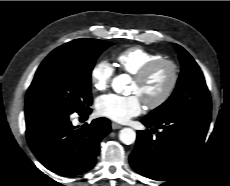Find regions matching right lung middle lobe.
Instances as JSON below:
<instances>
[{
	"label": "right lung middle lobe",
	"mask_w": 230,
	"mask_h": 186,
	"mask_svg": "<svg viewBox=\"0 0 230 186\" xmlns=\"http://www.w3.org/2000/svg\"><path fill=\"white\" fill-rule=\"evenodd\" d=\"M112 43L81 38L53 50L39 66L27 91L25 111L46 108L82 111L92 103L91 72Z\"/></svg>",
	"instance_id": "dd1d6c3e"
}]
</instances>
